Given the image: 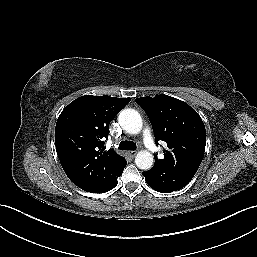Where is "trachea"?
<instances>
[{
	"label": "trachea",
	"instance_id": "trachea-1",
	"mask_svg": "<svg viewBox=\"0 0 257 257\" xmlns=\"http://www.w3.org/2000/svg\"><path fill=\"white\" fill-rule=\"evenodd\" d=\"M118 148L120 150H135L137 147L132 141H121Z\"/></svg>",
	"mask_w": 257,
	"mask_h": 257
}]
</instances>
